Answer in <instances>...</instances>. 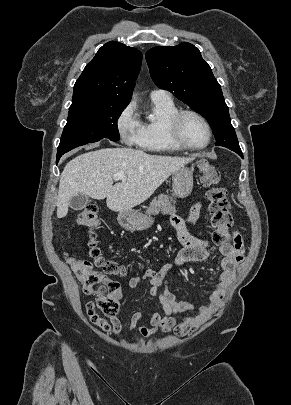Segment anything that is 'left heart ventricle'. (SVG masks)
I'll return each mask as SVG.
<instances>
[{"mask_svg":"<svg viewBox=\"0 0 291 405\" xmlns=\"http://www.w3.org/2000/svg\"><path fill=\"white\" fill-rule=\"evenodd\" d=\"M183 139L192 146H201L207 141V130L205 126L195 117H184L181 125Z\"/></svg>","mask_w":291,"mask_h":405,"instance_id":"1","label":"left heart ventricle"}]
</instances>
